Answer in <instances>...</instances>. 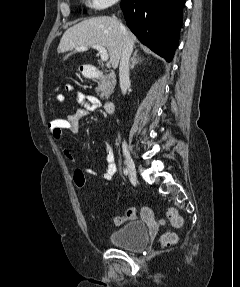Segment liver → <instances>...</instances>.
<instances>
[{
	"instance_id": "obj_1",
	"label": "liver",
	"mask_w": 240,
	"mask_h": 287,
	"mask_svg": "<svg viewBox=\"0 0 240 287\" xmlns=\"http://www.w3.org/2000/svg\"><path fill=\"white\" fill-rule=\"evenodd\" d=\"M133 44L137 41L133 33L127 31ZM99 44L105 47L110 56V62L115 68L118 66L124 45V35L119 21L114 17L100 16L86 19L65 31L58 53H64L82 46Z\"/></svg>"
}]
</instances>
